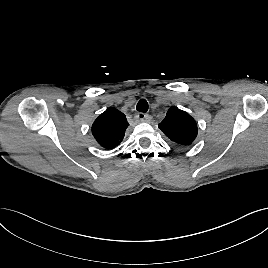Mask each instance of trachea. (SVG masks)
I'll list each match as a JSON object with an SVG mask.
<instances>
[{"mask_svg":"<svg viewBox=\"0 0 268 268\" xmlns=\"http://www.w3.org/2000/svg\"><path fill=\"white\" fill-rule=\"evenodd\" d=\"M137 111L146 113L148 111V102L145 99H141L136 106Z\"/></svg>","mask_w":268,"mask_h":268,"instance_id":"3493384b","label":"trachea"}]
</instances>
